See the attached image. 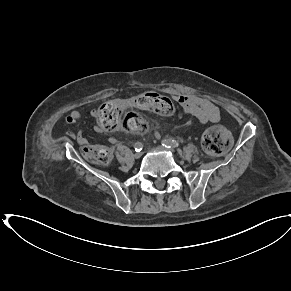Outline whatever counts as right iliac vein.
I'll use <instances>...</instances> for the list:
<instances>
[{"label": "right iliac vein", "mask_w": 291, "mask_h": 291, "mask_svg": "<svg viewBox=\"0 0 291 291\" xmlns=\"http://www.w3.org/2000/svg\"><path fill=\"white\" fill-rule=\"evenodd\" d=\"M141 155L142 154L140 152H137V153L134 154V158L135 159H139L141 157Z\"/></svg>", "instance_id": "1"}]
</instances>
